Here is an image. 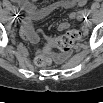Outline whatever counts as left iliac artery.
Here are the masks:
<instances>
[{
    "mask_svg": "<svg viewBox=\"0 0 103 103\" xmlns=\"http://www.w3.org/2000/svg\"><path fill=\"white\" fill-rule=\"evenodd\" d=\"M87 17L90 18V19L94 18V15L92 14L91 10L87 11Z\"/></svg>",
    "mask_w": 103,
    "mask_h": 103,
    "instance_id": "44dca946",
    "label": "left iliac artery"
}]
</instances>
